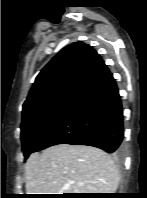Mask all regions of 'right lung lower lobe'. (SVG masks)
Wrapping results in <instances>:
<instances>
[{"label": "right lung lower lobe", "mask_w": 147, "mask_h": 198, "mask_svg": "<svg viewBox=\"0 0 147 198\" xmlns=\"http://www.w3.org/2000/svg\"><path fill=\"white\" fill-rule=\"evenodd\" d=\"M124 137L123 111L116 82L109 72L37 144L34 152L57 144L94 146L119 156Z\"/></svg>", "instance_id": "right-lung-lower-lobe-1"}]
</instances>
